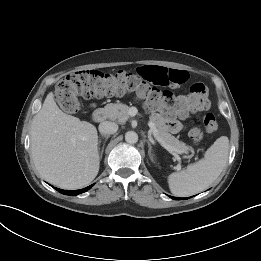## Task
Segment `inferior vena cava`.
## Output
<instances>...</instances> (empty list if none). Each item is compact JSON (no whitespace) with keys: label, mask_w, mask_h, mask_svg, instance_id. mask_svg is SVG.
Segmentation results:
<instances>
[{"label":"inferior vena cava","mask_w":261,"mask_h":261,"mask_svg":"<svg viewBox=\"0 0 261 261\" xmlns=\"http://www.w3.org/2000/svg\"><path fill=\"white\" fill-rule=\"evenodd\" d=\"M118 130V125L114 122L105 121L100 123L99 131L102 135H110L116 133Z\"/></svg>","instance_id":"obj_1"}]
</instances>
